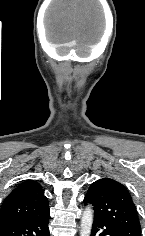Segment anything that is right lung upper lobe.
Here are the masks:
<instances>
[{
    "instance_id": "right-lung-upper-lobe-1",
    "label": "right lung upper lobe",
    "mask_w": 145,
    "mask_h": 236,
    "mask_svg": "<svg viewBox=\"0 0 145 236\" xmlns=\"http://www.w3.org/2000/svg\"><path fill=\"white\" fill-rule=\"evenodd\" d=\"M47 210L48 199L41 186L33 180L25 181L4 200L0 209V226L41 215Z\"/></svg>"
}]
</instances>
